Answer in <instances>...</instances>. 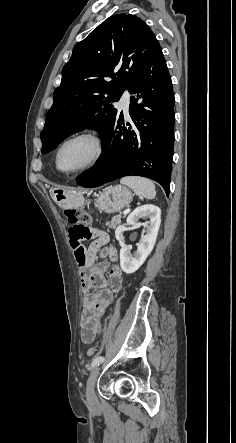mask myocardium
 <instances>
[{
    "label": "myocardium",
    "instance_id": "f54148a6",
    "mask_svg": "<svg viewBox=\"0 0 236 443\" xmlns=\"http://www.w3.org/2000/svg\"><path fill=\"white\" fill-rule=\"evenodd\" d=\"M81 138L88 139L93 143V145H94L93 157L91 158V160L87 164H85L82 167L72 169V170L62 169L60 167V153H61L62 149L69 142L77 140V139H81ZM104 152H105V143H104L102 136L95 130L84 129V130L78 131L76 133H73L72 135L68 136L66 139H64L61 142V144L59 145V147L56 151V156H55L56 167L60 172L65 173V174H80V173H83V172L93 169L102 159Z\"/></svg>",
    "mask_w": 236,
    "mask_h": 443
}]
</instances>
